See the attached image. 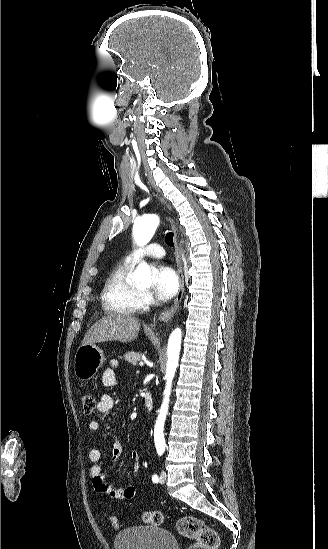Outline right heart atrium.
<instances>
[{"label":"right heart atrium","instance_id":"right-heart-atrium-1","mask_svg":"<svg viewBox=\"0 0 328 549\" xmlns=\"http://www.w3.org/2000/svg\"><path fill=\"white\" fill-rule=\"evenodd\" d=\"M144 298H145L146 302L149 303V304L154 302L152 296L149 293H145Z\"/></svg>","mask_w":328,"mask_h":549}]
</instances>
